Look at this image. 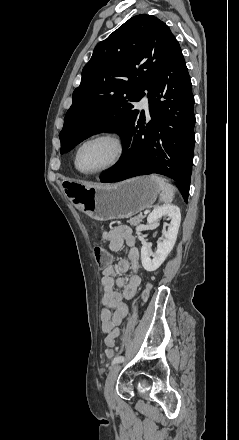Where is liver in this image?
I'll return each instance as SVG.
<instances>
[{"mask_svg": "<svg viewBox=\"0 0 239 440\" xmlns=\"http://www.w3.org/2000/svg\"><path fill=\"white\" fill-rule=\"evenodd\" d=\"M81 184H83V186H89V188H92V186H90V184H87V182H81Z\"/></svg>", "mask_w": 239, "mask_h": 440, "instance_id": "liver-1", "label": "liver"}]
</instances>
